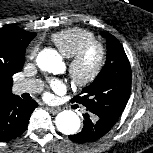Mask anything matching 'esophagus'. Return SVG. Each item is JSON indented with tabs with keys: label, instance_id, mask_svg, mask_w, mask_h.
Returning a JSON list of instances; mask_svg holds the SVG:
<instances>
[{
	"label": "esophagus",
	"instance_id": "34e87169",
	"mask_svg": "<svg viewBox=\"0 0 153 153\" xmlns=\"http://www.w3.org/2000/svg\"><path fill=\"white\" fill-rule=\"evenodd\" d=\"M49 110V112H51L52 114H56L60 111V108L58 107H48L47 108Z\"/></svg>",
	"mask_w": 153,
	"mask_h": 153
}]
</instances>
